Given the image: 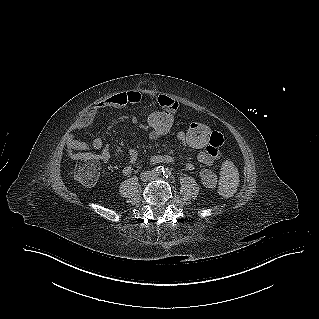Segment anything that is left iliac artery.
<instances>
[{
	"instance_id": "1",
	"label": "left iliac artery",
	"mask_w": 319,
	"mask_h": 319,
	"mask_svg": "<svg viewBox=\"0 0 319 319\" xmlns=\"http://www.w3.org/2000/svg\"><path fill=\"white\" fill-rule=\"evenodd\" d=\"M164 177L168 178L171 176V170L166 168L163 172Z\"/></svg>"
}]
</instances>
